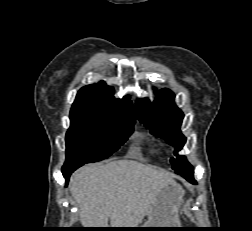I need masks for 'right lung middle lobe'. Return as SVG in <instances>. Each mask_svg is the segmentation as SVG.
<instances>
[{
  "mask_svg": "<svg viewBox=\"0 0 252 231\" xmlns=\"http://www.w3.org/2000/svg\"><path fill=\"white\" fill-rule=\"evenodd\" d=\"M70 121L62 170L110 156L127 140L134 125L133 118L81 111L70 112Z\"/></svg>",
  "mask_w": 252,
  "mask_h": 231,
  "instance_id": "dd1d6c3e",
  "label": "right lung middle lobe"
}]
</instances>
